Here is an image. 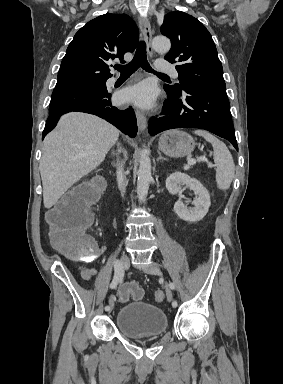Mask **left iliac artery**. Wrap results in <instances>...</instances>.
I'll return each instance as SVG.
<instances>
[{"mask_svg":"<svg viewBox=\"0 0 283 384\" xmlns=\"http://www.w3.org/2000/svg\"><path fill=\"white\" fill-rule=\"evenodd\" d=\"M169 285H170L171 290H174V289H175V285H174V283L171 282ZM172 306H173L174 308H176V307L178 306V303H177L176 300H173V302H172Z\"/></svg>","mask_w":283,"mask_h":384,"instance_id":"44dca946","label":"left iliac artery"}]
</instances>
